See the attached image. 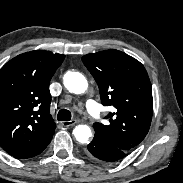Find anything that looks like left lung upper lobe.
I'll return each instance as SVG.
<instances>
[{"instance_id": "obj_1", "label": "left lung upper lobe", "mask_w": 183, "mask_h": 183, "mask_svg": "<svg viewBox=\"0 0 183 183\" xmlns=\"http://www.w3.org/2000/svg\"><path fill=\"white\" fill-rule=\"evenodd\" d=\"M82 61L99 86L102 104L115 108L105 117L109 125L93 124L95 134L131 151L145 138L152 120V90L144 66L114 49L84 55Z\"/></svg>"}]
</instances>
